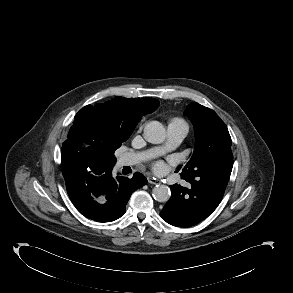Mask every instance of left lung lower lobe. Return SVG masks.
Instances as JSON below:
<instances>
[{
  "mask_svg": "<svg viewBox=\"0 0 293 293\" xmlns=\"http://www.w3.org/2000/svg\"><path fill=\"white\" fill-rule=\"evenodd\" d=\"M189 187L171 185V198L160 216L168 223L179 227H190L207 218L222 200L229 177L216 172L183 174Z\"/></svg>",
  "mask_w": 293,
  "mask_h": 293,
  "instance_id": "left-lung-lower-lobe-1",
  "label": "left lung lower lobe"
}]
</instances>
